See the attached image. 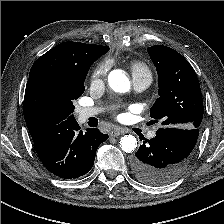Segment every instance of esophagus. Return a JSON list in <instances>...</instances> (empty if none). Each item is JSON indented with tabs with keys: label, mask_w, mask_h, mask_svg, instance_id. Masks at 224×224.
<instances>
[{
	"label": "esophagus",
	"mask_w": 224,
	"mask_h": 224,
	"mask_svg": "<svg viewBox=\"0 0 224 224\" xmlns=\"http://www.w3.org/2000/svg\"><path fill=\"white\" fill-rule=\"evenodd\" d=\"M126 133L124 130L122 129H114L113 131L110 132V135L112 137H117V136H120L122 134Z\"/></svg>",
	"instance_id": "obj_1"
}]
</instances>
